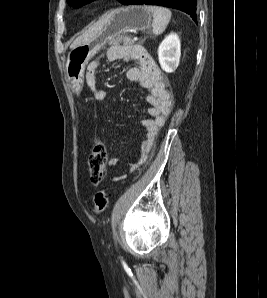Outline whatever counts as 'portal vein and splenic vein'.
I'll return each instance as SVG.
<instances>
[{
    "instance_id": "portal-vein-and-splenic-vein-1",
    "label": "portal vein and splenic vein",
    "mask_w": 267,
    "mask_h": 298,
    "mask_svg": "<svg viewBox=\"0 0 267 298\" xmlns=\"http://www.w3.org/2000/svg\"><path fill=\"white\" fill-rule=\"evenodd\" d=\"M137 40V38H134V41H136Z\"/></svg>"
}]
</instances>
